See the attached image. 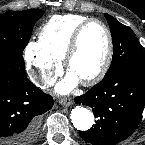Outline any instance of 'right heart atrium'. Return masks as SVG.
<instances>
[{
    "mask_svg": "<svg viewBox=\"0 0 145 145\" xmlns=\"http://www.w3.org/2000/svg\"><path fill=\"white\" fill-rule=\"evenodd\" d=\"M27 69L40 86L51 85L61 70V60L44 51L38 42H30L25 48Z\"/></svg>",
    "mask_w": 145,
    "mask_h": 145,
    "instance_id": "d8ad5b80",
    "label": "right heart atrium"
}]
</instances>
